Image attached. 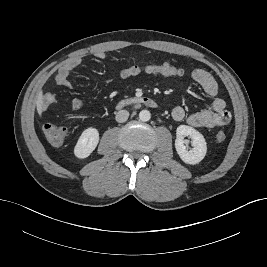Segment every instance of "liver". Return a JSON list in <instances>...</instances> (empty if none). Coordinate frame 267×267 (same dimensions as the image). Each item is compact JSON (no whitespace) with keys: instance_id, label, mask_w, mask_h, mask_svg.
<instances>
[{"instance_id":"obj_1","label":"liver","mask_w":267,"mask_h":267,"mask_svg":"<svg viewBox=\"0 0 267 267\" xmlns=\"http://www.w3.org/2000/svg\"><path fill=\"white\" fill-rule=\"evenodd\" d=\"M43 109H44V96L41 92L37 100V111L40 116L42 115Z\"/></svg>"}]
</instances>
